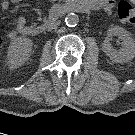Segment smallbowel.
Wrapping results in <instances>:
<instances>
[{"mask_svg":"<svg viewBox=\"0 0 135 135\" xmlns=\"http://www.w3.org/2000/svg\"><path fill=\"white\" fill-rule=\"evenodd\" d=\"M20 1L22 0H3L1 2V7L3 9H8L11 3H18ZM86 3L89 5L90 9L103 10L105 13H111L114 6V0H86ZM26 29L27 25L25 18L18 17L16 19L15 29L9 31L7 36L9 38H14L17 34H24Z\"/></svg>","mask_w":135,"mask_h":135,"instance_id":"c3829d8e","label":"small bowel"}]
</instances>
